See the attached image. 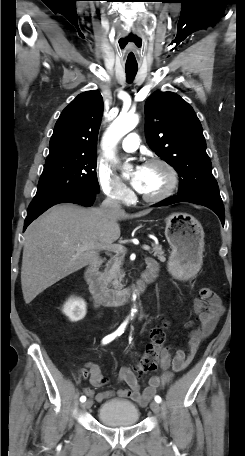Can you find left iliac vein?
I'll use <instances>...</instances> for the list:
<instances>
[{"label": "left iliac vein", "instance_id": "1", "mask_svg": "<svg viewBox=\"0 0 245 456\" xmlns=\"http://www.w3.org/2000/svg\"><path fill=\"white\" fill-rule=\"evenodd\" d=\"M150 408L155 414L160 413V405L156 401L151 402Z\"/></svg>", "mask_w": 245, "mask_h": 456}]
</instances>
